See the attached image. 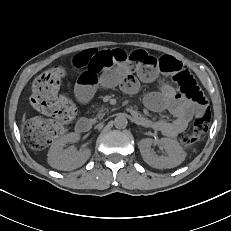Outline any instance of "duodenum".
Returning <instances> with one entry per match:
<instances>
[{
  "label": "duodenum",
  "instance_id": "1",
  "mask_svg": "<svg viewBox=\"0 0 231 231\" xmlns=\"http://www.w3.org/2000/svg\"><path fill=\"white\" fill-rule=\"evenodd\" d=\"M91 129V122L86 119H80L76 124V130L78 133H87Z\"/></svg>",
  "mask_w": 231,
  "mask_h": 231
}]
</instances>
